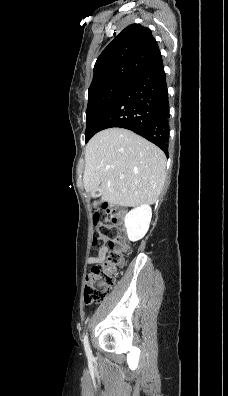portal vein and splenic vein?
I'll return each mask as SVG.
<instances>
[{
    "mask_svg": "<svg viewBox=\"0 0 228 396\" xmlns=\"http://www.w3.org/2000/svg\"><path fill=\"white\" fill-rule=\"evenodd\" d=\"M120 178L123 179V178H124V175H121Z\"/></svg>",
    "mask_w": 228,
    "mask_h": 396,
    "instance_id": "1",
    "label": "portal vein and splenic vein"
}]
</instances>
